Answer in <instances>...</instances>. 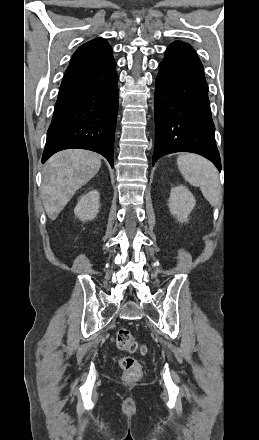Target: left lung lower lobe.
Returning a JSON list of instances; mask_svg holds the SVG:
<instances>
[{
    "instance_id": "obj_1",
    "label": "left lung lower lobe",
    "mask_w": 259,
    "mask_h": 440,
    "mask_svg": "<svg viewBox=\"0 0 259 440\" xmlns=\"http://www.w3.org/2000/svg\"><path fill=\"white\" fill-rule=\"evenodd\" d=\"M155 89V147L152 164L175 152L204 156L221 170L208 85L194 49L173 42L159 65Z\"/></svg>"
}]
</instances>
